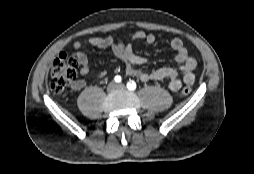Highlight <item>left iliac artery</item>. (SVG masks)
<instances>
[{
  "instance_id": "44dca946",
  "label": "left iliac artery",
  "mask_w": 254,
  "mask_h": 174,
  "mask_svg": "<svg viewBox=\"0 0 254 174\" xmlns=\"http://www.w3.org/2000/svg\"><path fill=\"white\" fill-rule=\"evenodd\" d=\"M127 88L129 90H135L136 89V83L134 81H130L127 83Z\"/></svg>"
}]
</instances>
